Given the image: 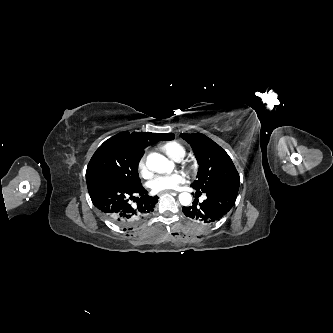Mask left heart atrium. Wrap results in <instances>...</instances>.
Instances as JSON below:
<instances>
[{
	"label": "left heart atrium",
	"mask_w": 333,
	"mask_h": 333,
	"mask_svg": "<svg viewBox=\"0 0 333 333\" xmlns=\"http://www.w3.org/2000/svg\"><path fill=\"white\" fill-rule=\"evenodd\" d=\"M184 181V175L181 173L159 175L151 180L150 187L155 192H163L177 188Z\"/></svg>",
	"instance_id": "obj_1"
}]
</instances>
